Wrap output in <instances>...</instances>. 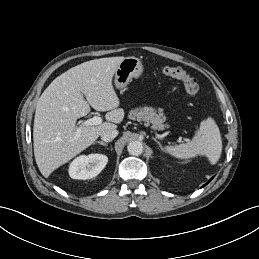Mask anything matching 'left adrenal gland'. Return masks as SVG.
Returning a JSON list of instances; mask_svg holds the SVG:
<instances>
[{
    "mask_svg": "<svg viewBox=\"0 0 259 259\" xmlns=\"http://www.w3.org/2000/svg\"><path fill=\"white\" fill-rule=\"evenodd\" d=\"M152 139L159 145L160 149L163 150V147H162L161 143L157 140V138L152 137Z\"/></svg>",
    "mask_w": 259,
    "mask_h": 259,
    "instance_id": "1",
    "label": "left adrenal gland"
}]
</instances>
